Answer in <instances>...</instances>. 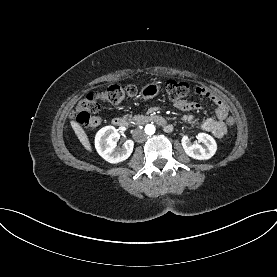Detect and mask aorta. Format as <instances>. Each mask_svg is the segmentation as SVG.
<instances>
[{"mask_svg": "<svg viewBox=\"0 0 277 277\" xmlns=\"http://www.w3.org/2000/svg\"><path fill=\"white\" fill-rule=\"evenodd\" d=\"M155 126L153 124H147L144 128V131L147 135H153L155 133Z\"/></svg>", "mask_w": 277, "mask_h": 277, "instance_id": "aorta-1", "label": "aorta"}]
</instances>
